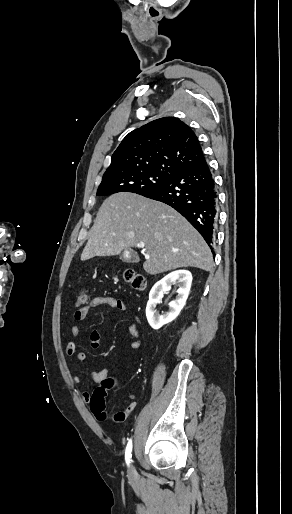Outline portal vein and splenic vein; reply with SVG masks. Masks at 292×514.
I'll return each mask as SVG.
<instances>
[{"label": "portal vein and splenic vein", "mask_w": 292, "mask_h": 514, "mask_svg": "<svg viewBox=\"0 0 292 514\" xmlns=\"http://www.w3.org/2000/svg\"><path fill=\"white\" fill-rule=\"evenodd\" d=\"M139 248H144V244H140ZM172 252H178V250H172Z\"/></svg>", "instance_id": "18ae733b"}]
</instances>
